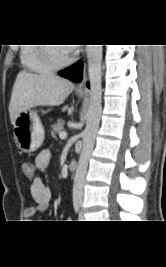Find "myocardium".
I'll use <instances>...</instances> for the list:
<instances>
[{
    "instance_id": "f54148a6",
    "label": "myocardium",
    "mask_w": 166,
    "mask_h": 267,
    "mask_svg": "<svg viewBox=\"0 0 166 267\" xmlns=\"http://www.w3.org/2000/svg\"><path fill=\"white\" fill-rule=\"evenodd\" d=\"M50 44H42L40 46V53L44 61L49 64L53 68H63L68 65H70L74 61V56L70 55L66 57L64 60H59L53 49L52 46H49Z\"/></svg>"
}]
</instances>
